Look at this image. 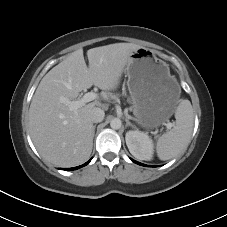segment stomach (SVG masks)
Returning a JSON list of instances; mask_svg holds the SVG:
<instances>
[{"label": "stomach", "mask_w": 227, "mask_h": 227, "mask_svg": "<svg viewBox=\"0 0 227 227\" xmlns=\"http://www.w3.org/2000/svg\"><path fill=\"white\" fill-rule=\"evenodd\" d=\"M126 75L137 123L154 129L168 121L181 93L168 64L157 58L153 50L140 47L130 54Z\"/></svg>", "instance_id": "0dacf381"}]
</instances>
